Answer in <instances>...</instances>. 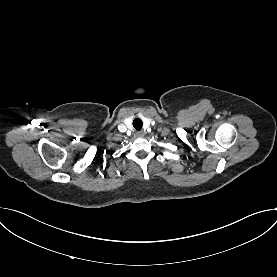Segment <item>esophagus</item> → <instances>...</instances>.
I'll list each match as a JSON object with an SVG mask.
<instances>
[{
    "label": "esophagus",
    "instance_id": "1",
    "mask_svg": "<svg viewBox=\"0 0 277 277\" xmlns=\"http://www.w3.org/2000/svg\"><path fill=\"white\" fill-rule=\"evenodd\" d=\"M135 135L138 138H142V137H144L145 133L143 131H137Z\"/></svg>",
    "mask_w": 277,
    "mask_h": 277
}]
</instances>
